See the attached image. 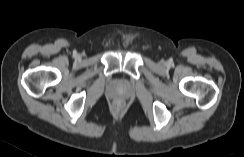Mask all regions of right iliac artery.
Listing matches in <instances>:
<instances>
[{
  "label": "right iliac artery",
  "mask_w": 244,
  "mask_h": 157,
  "mask_svg": "<svg viewBox=\"0 0 244 157\" xmlns=\"http://www.w3.org/2000/svg\"><path fill=\"white\" fill-rule=\"evenodd\" d=\"M76 54H77V52H76V51H74V52H73V55H74V56H76Z\"/></svg>",
  "instance_id": "right-iliac-artery-1"
}]
</instances>
